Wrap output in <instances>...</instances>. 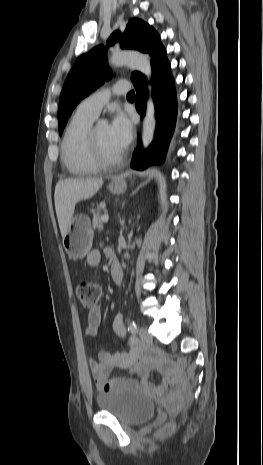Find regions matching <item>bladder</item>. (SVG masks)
<instances>
[{
	"label": "bladder",
	"mask_w": 263,
	"mask_h": 465,
	"mask_svg": "<svg viewBox=\"0 0 263 465\" xmlns=\"http://www.w3.org/2000/svg\"><path fill=\"white\" fill-rule=\"evenodd\" d=\"M96 402L101 411L116 417L124 425L146 422L155 413V406L146 395L131 389L114 388L100 392Z\"/></svg>",
	"instance_id": "bladder-1"
}]
</instances>
